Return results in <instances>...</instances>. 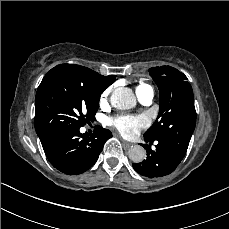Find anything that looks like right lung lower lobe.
Returning <instances> with one entry per match:
<instances>
[{
	"instance_id": "98d812e1",
	"label": "right lung lower lobe",
	"mask_w": 229,
	"mask_h": 229,
	"mask_svg": "<svg viewBox=\"0 0 229 229\" xmlns=\"http://www.w3.org/2000/svg\"><path fill=\"white\" fill-rule=\"evenodd\" d=\"M112 137L108 129L97 126L90 136L81 134L79 128H71L58 134L43 150L49 162L60 172L77 175L92 167Z\"/></svg>"
}]
</instances>
